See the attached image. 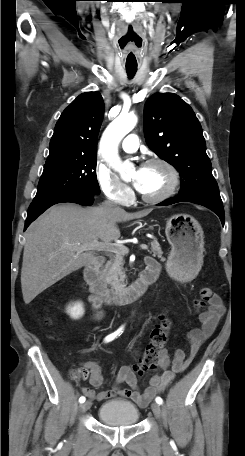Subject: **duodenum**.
<instances>
[{
    "mask_svg": "<svg viewBox=\"0 0 245 456\" xmlns=\"http://www.w3.org/2000/svg\"><path fill=\"white\" fill-rule=\"evenodd\" d=\"M104 262L102 256L94 257L84 269V278L89 285L93 298L98 303L104 304H123L132 302L141 297L153 284L159 274V264L157 262H147L146 268L142 271L138 279L129 287L113 290L107 287L101 276L100 268Z\"/></svg>",
    "mask_w": 245,
    "mask_h": 456,
    "instance_id": "1",
    "label": "duodenum"
}]
</instances>
